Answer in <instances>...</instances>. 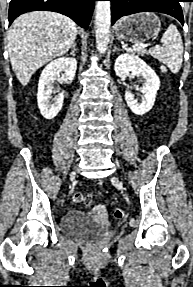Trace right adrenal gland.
I'll return each mask as SVG.
<instances>
[{"label":"right adrenal gland","mask_w":193,"mask_h":287,"mask_svg":"<svg viewBox=\"0 0 193 287\" xmlns=\"http://www.w3.org/2000/svg\"><path fill=\"white\" fill-rule=\"evenodd\" d=\"M75 46H76V43H74L72 46H71V55L75 56Z\"/></svg>","instance_id":"right-adrenal-gland-1"}]
</instances>
